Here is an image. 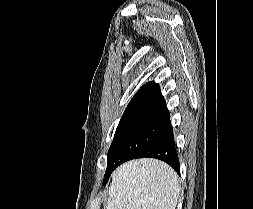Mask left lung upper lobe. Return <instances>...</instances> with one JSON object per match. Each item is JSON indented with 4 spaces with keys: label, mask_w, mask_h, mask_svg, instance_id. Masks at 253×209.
<instances>
[{
    "label": "left lung upper lobe",
    "mask_w": 253,
    "mask_h": 209,
    "mask_svg": "<svg viewBox=\"0 0 253 209\" xmlns=\"http://www.w3.org/2000/svg\"><path fill=\"white\" fill-rule=\"evenodd\" d=\"M170 124V113L154 81L134 95L117 126L107 154V167L139 153Z\"/></svg>",
    "instance_id": "1"
}]
</instances>
